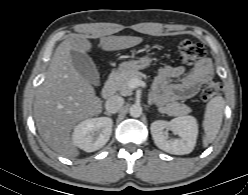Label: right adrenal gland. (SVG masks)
I'll list each match as a JSON object with an SVG mask.
<instances>
[{"label": "right adrenal gland", "mask_w": 248, "mask_h": 195, "mask_svg": "<svg viewBox=\"0 0 248 195\" xmlns=\"http://www.w3.org/2000/svg\"><path fill=\"white\" fill-rule=\"evenodd\" d=\"M104 114H105V115H107V116H112V114H111V113L106 112V111L104 112Z\"/></svg>", "instance_id": "obj_1"}]
</instances>
